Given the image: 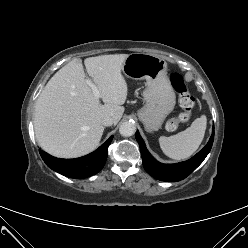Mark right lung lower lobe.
Returning a JSON list of instances; mask_svg holds the SVG:
<instances>
[{"instance_id": "right-lung-lower-lobe-1", "label": "right lung lower lobe", "mask_w": 248, "mask_h": 248, "mask_svg": "<svg viewBox=\"0 0 248 248\" xmlns=\"http://www.w3.org/2000/svg\"><path fill=\"white\" fill-rule=\"evenodd\" d=\"M113 136L94 152L75 159H59L40 150V155L46 165L52 170L69 178L82 179L98 173L107 159V150Z\"/></svg>"}]
</instances>
